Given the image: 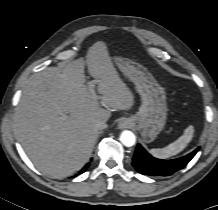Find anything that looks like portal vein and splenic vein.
<instances>
[{"label": "portal vein and splenic vein", "instance_id": "18ae733b", "mask_svg": "<svg viewBox=\"0 0 218 210\" xmlns=\"http://www.w3.org/2000/svg\"><path fill=\"white\" fill-rule=\"evenodd\" d=\"M94 83H96V81H91V82H89L88 84H89V87H90V89H91V91L93 92L94 91ZM98 98V97H97ZM68 118V116L67 115H62L61 116V119L62 120H66Z\"/></svg>", "mask_w": 218, "mask_h": 210}]
</instances>
